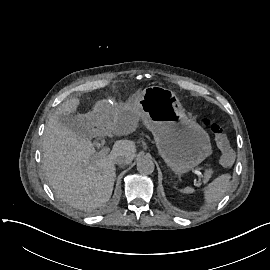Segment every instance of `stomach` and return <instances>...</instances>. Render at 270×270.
Wrapping results in <instances>:
<instances>
[{
	"instance_id": "stomach-1",
	"label": "stomach",
	"mask_w": 270,
	"mask_h": 270,
	"mask_svg": "<svg viewBox=\"0 0 270 270\" xmlns=\"http://www.w3.org/2000/svg\"><path fill=\"white\" fill-rule=\"evenodd\" d=\"M138 116L152 132L159 154L177 174L188 172L206 157L212 148L208 133L189 119L176 95L160 86H148L136 99L117 106L119 115Z\"/></svg>"
}]
</instances>
